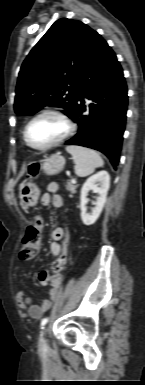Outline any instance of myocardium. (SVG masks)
<instances>
[{"mask_svg":"<svg viewBox=\"0 0 145 385\" xmlns=\"http://www.w3.org/2000/svg\"><path fill=\"white\" fill-rule=\"evenodd\" d=\"M46 115L56 116L59 119H61L66 125V131L60 138H58L57 140H55V141H53V142H51L45 146H35L29 141V137H28L29 128L35 120H37L38 118H40L42 116H46ZM75 130H76V124L74 123V121L71 119V117L66 112H64L63 110L58 109V108H48V109L41 110L40 112L35 114L27 122V124L24 128L23 137H24V141H25L26 145L28 147H30L31 149L37 150V151H44V150H48L50 148H53V147L59 145L60 143L64 142L68 138H70L74 134Z\"/></svg>","mask_w":145,"mask_h":385,"instance_id":"f54148a6","label":"myocardium"}]
</instances>
